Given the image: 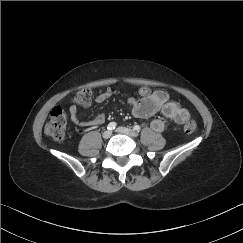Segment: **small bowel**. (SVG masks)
<instances>
[{
  "label": "small bowel",
  "instance_id": "c3829d8e",
  "mask_svg": "<svg viewBox=\"0 0 243 243\" xmlns=\"http://www.w3.org/2000/svg\"><path fill=\"white\" fill-rule=\"evenodd\" d=\"M139 93L141 96L139 99L131 97L127 101L134 117L145 119L161 111L166 118L173 120L178 125H182L189 120V110L177 102L171 101L166 91H150L148 88H141ZM111 97L112 92L105 91L96 96L95 102L104 103ZM69 113L71 121L79 127L99 126L106 121L104 114H98L92 121L82 120L75 105L70 107ZM164 127L165 123L160 118H156L151 122V128L155 132H161Z\"/></svg>",
  "mask_w": 243,
  "mask_h": 243
}]
</instances>
